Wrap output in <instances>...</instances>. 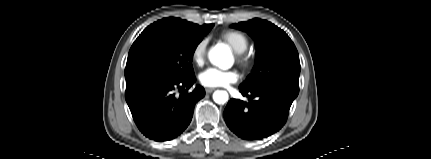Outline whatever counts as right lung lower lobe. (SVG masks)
<instances>
[{"mask_svg":"<svg viewBox=\"0 0 431 159\" xmlns=\"http://www.w3.org/2000/svg\"><path fill=\"white\" fill-rule=\"evenodd\" d=\"M196 81L195 76L178 79L151 73L126 82L125 98L139 130L154 141H169L188 127L194 106L205 96L202 86L183 92ZM178 88L181 94L176 96Z\"/></svg>","mask_w":431,"mask_h":159,"instance_id":"98d812e1","label":"right lung lower lobe"}]
</instances>
